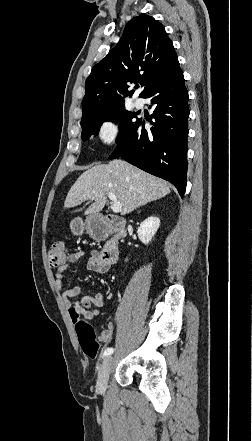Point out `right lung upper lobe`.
<instances>
[{
    "label": "right lung upper lobe",
    "mask_w": 252,
    "mask_h": 441,
    "mask_svg": "<svg viewBox=\"0 0 252 441\" xmlns=\"http://www.w3.org/2000/svg\"><path fill=\"white\" fill-rule=\"evenodd\" d=\"M177 60L161 23L151 16L133 18L119 44L93 67L85 82L81 124L124 105V97L134 92L127 90L128 83L140 82L144 90L139 97L143 98Z\"/></svg>",
    "instance_id": "obj_1"
}]
</instances>
